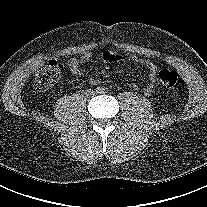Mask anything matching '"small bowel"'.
I'll list each match as a JSON object with an SVG mask.
<instances>
[{
	"mask_svg": "<svg viewBox=\"0 0 207 207\" xmlns=\"http://www.w3.org/2000/svg\"><path fill=\"white\" fill-rule=\"evenodd\" d=\"M90 57V53H85L80 58H71L67 64L71 74L74 76H80L82 74L81 64L89 60ZM102 57L103 60L108 63L117 62L121 59L117 53L112 51H105L102 54ZM138 63L148 72V83L143 88V92L145 95L150 96L155 92L157 87V67L152 61L147 59H139ZM91 82L96 83V80L92 79ZM127 85L132 90H136L138 88L137 82L133 79H129L127 81Z\"/></svg>",
	"mask_w": 207,
	"mask_h": 207,
	"instance_id": "1",
	"label": "small bowel"
}]
</instances>
